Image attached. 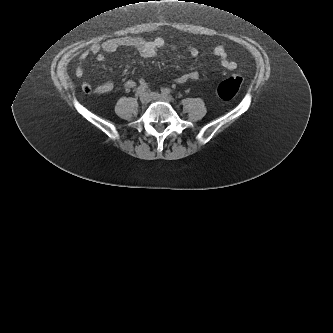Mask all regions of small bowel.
<instances>
[{"mask_svg":"<svg viewBox=\"0 0 333 333\" xmlns=\"http://www.w3.org/2000/svg\"><path fill=\"white\" fill-rule=\"evenodd\" d=\"M131 47L136 49L139 54L144 58L154 57L158 50L163 48H171L175 49L173 46L166 43L163 39L156 38L154 40H145L140 37H119L108 39L102 43H94L90 45L87 49H85L80 55V61L75 69V76L77 78H81L84 74V63L89 55H93L96 57L98 61L105 60V52H114L120 48ZM188 52L191 56L196 57L199 54V51L196 47L190 46L188 48ZM214 55L218 58L220 65L228 70H235L237 65L231 60L225 48L223 46H217L214 51ZM199 78V73L197 71H190L188 73L182 74L181 76L175 79V83L183 84L187 81H194ZM140 84L142 86L147 87V83L144 80H140ZM136 86L134 81H127L124 84L126 89H132ZM114 88V83L111 80L104 82L99 85L95 89H93L92 85L88 82H84L82 84V89L85 93L96 92L98 94H105L112 91Z\"/></svg>","mask_w":333,"mask_h":333,"instance_id":"small-bowel-1","label":"small bowel"}]
</instances>
